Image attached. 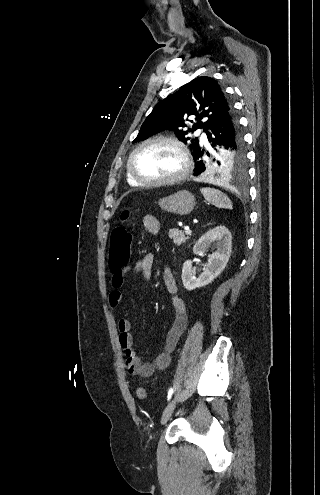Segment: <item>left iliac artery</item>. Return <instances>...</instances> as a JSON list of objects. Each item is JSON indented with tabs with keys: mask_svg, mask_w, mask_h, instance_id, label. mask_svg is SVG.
Here are the masks:
<instances>
[{
	"mask_svg": "<svg viewBox=\"0 0 320 495\" xmlns=\"http://www.w3.org/2000/svg\"><path fill=\"white\" fill-rule=\"evenodd\" d=\"M173 392H174V389L173 388H170L169 391H168V396H167L168 400H170Z\"/></svg>",
	"mask_w": 320,
	"mask_h": 495,
	"instance_id": "44dca946",
	"label": "left iliac artery"
}]
</instances>
